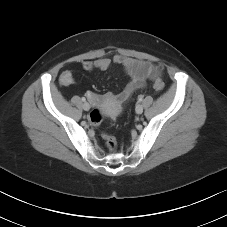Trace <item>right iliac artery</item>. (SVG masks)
<instances>
[{"label":"right iliac artery","mask_w":227,"mask_h":227,"mask_svg":"<svg viewBox=\"0 0 227 227\" xmlns=\"http://www.w3.org/2000/svg\"><path fill=\"white\" fill-rule=\"evenodd\" d=\"M83 102H86V98L85 97H82L81 99Z\"/></svg>","instance_id":"right-iliac-artery-1"}]
</instances>
